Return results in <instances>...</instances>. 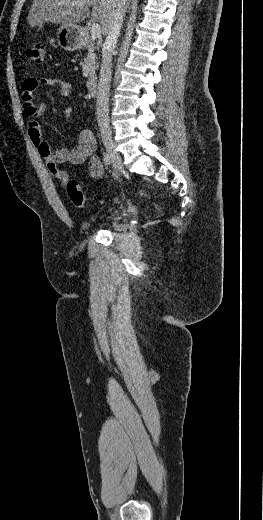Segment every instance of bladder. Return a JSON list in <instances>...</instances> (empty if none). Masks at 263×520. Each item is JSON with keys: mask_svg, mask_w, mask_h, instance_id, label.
<instances>
[{"mask_svg": "<svg viewBox=\"0 0 263 520\" xmlns=\"http://www.w3.org/2000/svg\"><path fill=\"white\" fill-rule=\"evenodd\" d=\"M81 225H82L83 228L88 229V228L91 227L92 224L89 221H84L83 220V221H81Z\"/></svg>", "mask_w": 263, "mask_h": 520, "instance_id": "1", "label": "bladder"}]
</instances>
